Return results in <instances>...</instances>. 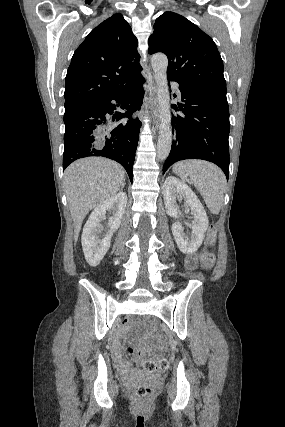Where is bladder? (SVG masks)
Returning <instances> with one entry per match:
<instances>
[{"instance_id":"31cf9c89","label":"bladder","mask_w":285,"mask_h":427,"mask_svg":"<svg viewBox=\"0 0 285 427\" xmlns=\"http://www.w3.org/2000/svg\"><path fill=\"white\" fill-rule=\"evenodd\" d=\"M147 377H152V374H147Z\"/></svg>"}]
</instances>
